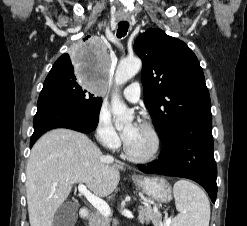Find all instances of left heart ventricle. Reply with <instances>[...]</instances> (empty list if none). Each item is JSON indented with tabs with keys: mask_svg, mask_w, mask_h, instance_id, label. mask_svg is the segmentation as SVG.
Masks as SVG:
<instances>
[{
	"mask_svg": "<svg viewBox=\"0 0 247 226\" xmlns=\"http://www.w3.org/2000/svg\"><path fill=\"white\" fill-rule=\"evenodd\" d=\"M125 133L129 134L126 143L134 155L147 156L153 151L154 138L146 128L139 126L133 130V125L129 124L125 128Z\"/></svg>",
	"mask_w": 247,
	"mask_h": 226,
	"instance_id": "left-heart-ventricle-1",
	"label": "left heart ventricle"
}]
</instances>
